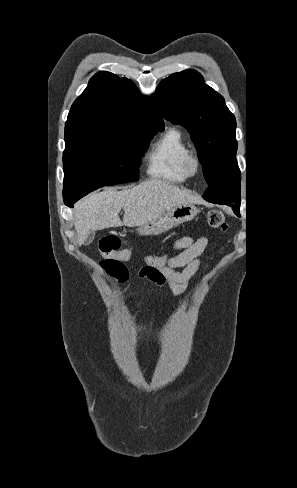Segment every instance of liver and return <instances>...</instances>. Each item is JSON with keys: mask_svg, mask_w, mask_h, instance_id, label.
<instances>
[{"mask_svg": "<svg viewBox=\"0 0 297 488\" xmlns=\"http://www.w3.org/2000/svg\"><path fill=\"white\" fill-rule=\"evenodd\" d=\"M195 202L198 199L189 192L157 179L127 190L108 188L92 193L76 205L74 226L78 244H84L91 231L141 226L176 205ZM122 208L123 222L118 215Z\"/></svg>", "mask_w": 297, "mask_h": 488, "instance_id": "6515ba94", "label": "liver"}]
</instances>
